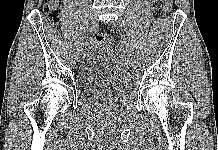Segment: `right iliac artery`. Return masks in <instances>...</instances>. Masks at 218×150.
<instances>
[{"label": "right iliac artery", "instance_id": "1", "mask_svg": "<svg viewBox=\"0 0 218 150\" xmlns=\"http://www.w3.org/2000/svg\"><path fill=\"white\" fill-rule=\"evenodd\" d=\"M93 30L90 28L89 30H88V32L90 33L88 36L92 39L94 36H93V32H92ZM88 43V42H87ZM83 45V44H82Z\"/></svg>", "mask_w": 218, "mask_h": 150}]
</instances>
